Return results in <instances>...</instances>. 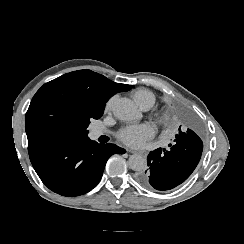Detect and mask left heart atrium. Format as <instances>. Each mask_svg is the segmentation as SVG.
<instances>
[{
	"label": "left heart atrium",
	"instance_id": "39dd6f15",
	"mask_svg": "<svg viewBox=\"0 0 244 244\" xmlns=\"http://www.w3.org/2000/svg\"><path fill=\"white\" fill-rule=\"evenodd\" d=\"M154 137V131L147 125L132 126L121 130L118 139L131 147H140Z\"/></svg>",
	"mask_w": 244,
	"mask_h": 244
}]
</instances>
